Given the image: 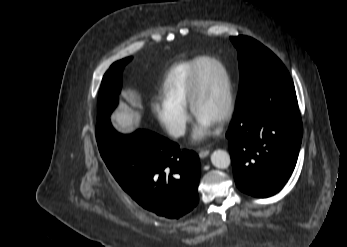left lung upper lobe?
<instances>
[{
  "instance_id": "1",
  "label": "left lung upper lobe",
  "mask_w": 347,
  "mask_h": 247,
  "mask_svg": "<svg viewBox=\"0 0 347 247\" xmlns=\"http://www.w3.org/2000/svg\"><path fill=\"white\" fill-rule=\"evenodd\" d=\"M238 51L240 83L236 107L265 82L289 76L283 63L265 46L247 36L230 37Z\"/></svg>"
}]
</instances>
